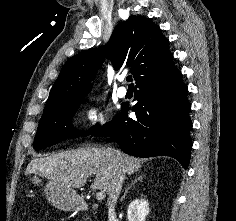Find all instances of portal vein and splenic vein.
Segmentation results:
<instances>
[{"label": "portal vein and splenic vein", "instance_id": "18ae733b", "mask_svg": "<svg viewBox=\"0 0 236 221\" xmlns=\"http://www.w3.org/2000/svg\"><path fill=\"white\" fill-rule=\"evenodd\" d=\"M106 194H105V191H100L96 194V199L101 201L105 198Z\"/></svg>", "mask_w": 236, "mask_h": 221}]
</instances>
